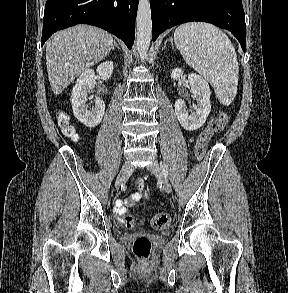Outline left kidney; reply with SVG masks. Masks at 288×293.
Returning <instances> with one entry per match:
<instances>
[{"mask_svg": "<svg viewBox=\"0 0 288 293\" xmlns=\"http://www.w3.org/2000/svg\"><path fill=\"white\" fill-rule=\"evenodd\" d=\"M183 75L182 69L175 68L171 72V78L176 80ZM188 82L191 87V92L197 101L195 110L188 114L186 104L183 99H177L175 102V113L181 126L189 131L197 130L203 126L211 111L210 104V87L208 82L201 76L190 73Z\"/></svg>", "mask_w": 288, "mask_h": 293, "instance_id": "1", "label": "left kidney"}]
</instances>
